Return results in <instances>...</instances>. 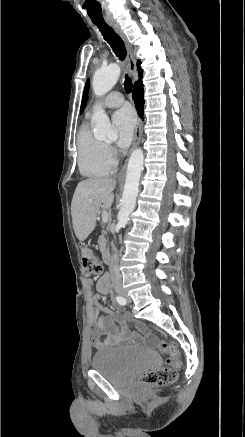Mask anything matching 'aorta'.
I'll use <instances>...</instances> for the list:
<instances>
[{
	"mask_svg": "<svg viewBox=\"0 0 245 437\" xmlns=\"http://www.w3.org/2000/svg\"><path fill=\"white\" fill-rule=\"evenodd\" d=\"M120 76V67L117 64L99 69L93 77V91L97 96L108 93L116 84ZM95 122L94 136L97 139L116 140L118 137L108 116L103 110H98L93 115ZM144 155L141 148L135 149L128 161L125 184L121 199V207L117 216L118 225L125 227L128 224L129 216L136 206V199L139 191V181L143 170Z\"/></svg>",
	"mask_w": 245,
	"mask_h": 437,
	"instance_id": "762f6f07",
	"label": "aorta"
}]
</instances>
